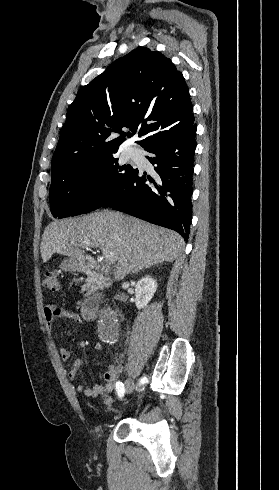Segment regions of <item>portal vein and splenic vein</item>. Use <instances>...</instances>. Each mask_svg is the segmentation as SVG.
<instances>
[{"instance_id":"1","label":"portal vein and splenic vein","mask_w":279,"mask_h":490,"mask_svg":"<svg viewBox=\"0 0 279 490\" xmlns=\"http://www.w3.org/2000/svg\"><path fill=\"white\" fill-rule=\"evenodd\" d=\"M86 248H96V246H94V244H85ZM106 262H108V264H114V262H116V258L114 256V254H112V252H106Z\"/></svg>"}]
</instances>
